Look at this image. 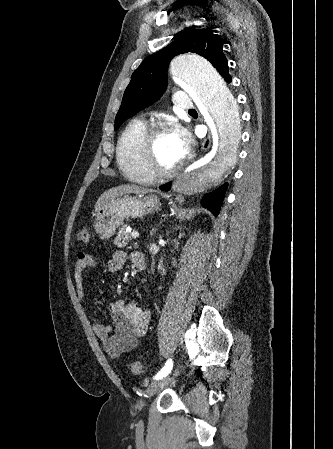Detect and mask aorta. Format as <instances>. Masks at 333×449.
Returning a JSON list of instances; mask_svg holds the SVG:
<instances>
[{"mask_svg":"<svg viewBox=\"0 0 333 449\" xmlns=\"http://www.w3.org/2000/svg\"><path fill=\"white\" fill-rule=\"evenodd\" d=\"M170 72L178 85L203 107L218 136L217 148L191 165L172 183L177 200L218 186L226 169L234 164L240 141L238 107L231 90L205 58L194 53L177 55Z\"/></svg>","mask_w":333,"mask_h":449,"instance_id":"obj_1","label":"aorta"}]
</instances>
